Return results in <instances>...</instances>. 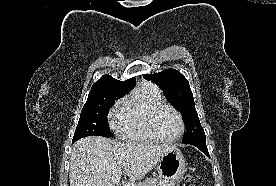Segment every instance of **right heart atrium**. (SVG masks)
Here are the masks:
<instances>
[{
  "label": "right heart atrium",
  "mask_w": 276,
  "mask_h": 186,
  "mask_svg": "<svg viewBox=\"0 0 276 186\" xmlns=\"http://www.w3.org/2000/svg\"><path fill=\"white\" fill-rule=\"evenodd\" d=\"M121 110L122 107H120V102H118L110 111V119L114 127L118 125Z\"/></svg>",
  "instance_id": "1"
}]
</instances>
